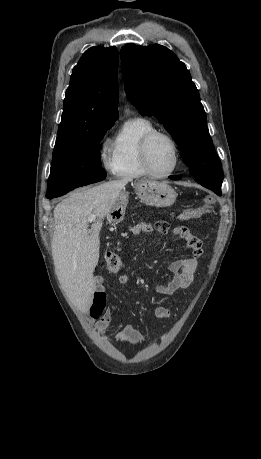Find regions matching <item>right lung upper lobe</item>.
I'll return each mask as SVG.
<instances>
[{
  "mask_svg": "<svg viewBox=\"0 0 261 459\" xmlns=\"http://www.w3.org/2000/svg\"><path fill=\"white\" fill-rule=\"evenodd\" d=\"M116 47H92L73 68L57 139L118 118Z\"/></svg>",
  "mask_w": 261,
  "mask_h": 459,
  "instance_id": "obj_1",
  "label": "right lung upper lobe"
}]
</instances>
